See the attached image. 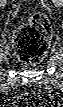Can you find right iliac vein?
I'll return each mask as SVG.
<instances>
[{"mask_svg": "<svg viewBox=\"0 0 63 107\" xmlns=\"http://www.w3.org/2000/svg\"><path fill=\"white\" fill-rule=\"evenodd\" d=\"M5 4H6V1H5V0H2L1 3H0V6H1V7H4Z\"/></svg>", "mask_w": 63, "mask_h": 107, "instance_id": "right-iliac-vein-1", "label": "right iliac vein"}]
</instances>
